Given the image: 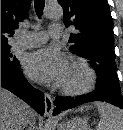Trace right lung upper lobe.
I'll list each match as a JSON object with an SVG mask.
<instances>
[{
    "label": "right lung upper lobe",
    "instance_id": "1",
    "mask_svg": "<svg viewBox=\"0 0 123 130\" xmlns=\"http://www.w3.org/2000/svg\"><path fill=\"white\" fill-rule=\"evenodd\" d=\"M31 0H1V44L14 34L18 23L27 16Z\"/></svg>",
    "mask_w": 123,
    "mask_h": 130
}]
</instances>
